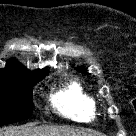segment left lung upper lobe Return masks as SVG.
<instances>
[{"instance_id": "obj_1", "label": "left lung upper lobe", "mask_w": 136, "mask_h": 136, "mask_svg": "<svg viewBox=\"0 0 136 136\" xmlns=\"http://www.w3.org/2000/svg\"><path fill=\"white\" fill-rule=\"evenodd\" d=\"M78 71H80V72H82V73H86L83 69H81V68H78L77 69Z\"/></svg>"}]
</instances>
